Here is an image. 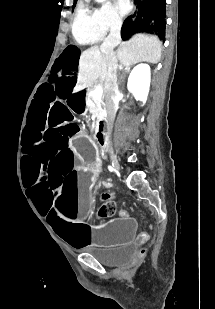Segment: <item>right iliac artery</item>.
<instances>
[{
    "instance_id": "obj_1",
    "label": "right iliac artery",
    "mask_w": 215,
    "mask_h": 309,
    "mask_svg": "<svg viewBox=\"0 0 215 309\" xmlns=\"http://www.w3.org/2000/svg\"><path fill=\"white\" fill-rule=\"evenodd\" d=\"M108 169H109L110 171H113V170H114L111 166H108Z\"/></svg>"
}]
</instances>
